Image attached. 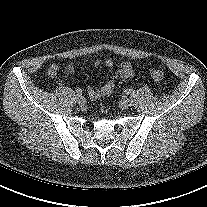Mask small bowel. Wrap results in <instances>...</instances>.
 I'll use <instances>...</instances> for the list:
<instances>
[{
    "instance_id": "obj_1",
    "label": "small bowel",
    "mask_w": 207,
    "mask_h": 207,
    "mask_svg": "<svg viewBox=\"0 0 207 207\" xmlns=\"http://www.w3.org/2000/svg\"><path fill=\"white\" fill-rule=\"evenodd\" d=\"M107 68H112L115 66V62L112 59H107L104 62ZM100 65L99 60L94 61V66L98 67ZM60 67L58 65H52L48 69L50 76H55ZM64 71L67 74H72L74 72V67L71 64L65 66ZM134 75V68L129 61H122L118 64V69L115 74L102 86L100 87H88L87 93L91 99H96L101 96L109 95L115 88V83L118 78H130Z\"/></svg>"
}]
</instances>
